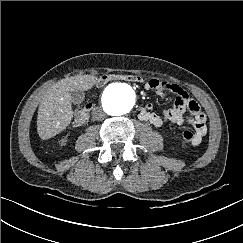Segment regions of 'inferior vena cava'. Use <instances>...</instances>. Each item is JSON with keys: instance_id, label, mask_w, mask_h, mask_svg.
Returning a JSON list of instances; mask_svg holds the SVG:
<instances>
[{"instance_id": "inferior-vena-cava-1", "label": "inferior vena cava", "mask_w": 243, "mask_h": 243, "mask_svg": "<svg viewBox=\"0 0 243 243\" xmlns=\"http://www.w3.org/2000/svg\"><path fill=\"white\" fill-rule=\"evenodd\" d=\"M92 117H93L94 120L101 121V120L105 119L106 114L101 108H95L92 111Z\"/></svg>"}]
</instances>
